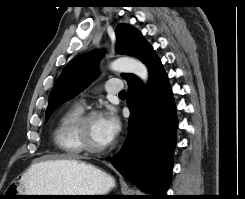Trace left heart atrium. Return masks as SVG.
Returning a JSON list of instances; mask_svg holds the SVG:
<instances>
[{"label":"left heart atrium","mask_w":245,"mask_h":199,"mask_svg":"<svg viewBox=\"0 0 245 199\" xmlns=\"http://www.w3.org/2000/svg\"><path fill=\"white\" fill-rule=\"evenodd\" d=\"M101 123L105 138L107 142L110 144L119 134V118L113 111H109L101 116Z\"/></svg>","instance_id":"1"}]
</instances>
